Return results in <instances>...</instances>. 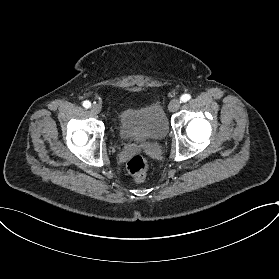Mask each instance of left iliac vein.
Listing matches in <instances>:
<instances>
[{
  "mask_svg": "<svg viewBox=\"0 0 279 279\" xmlns=\"http://www.w3.org/2000/svg\"><path fill=\"white\" fill-rule=\"evenodd\" d=\"M179 107H180V100L179 99L171 100L169 105H168V109H169L170 112L177 111Z\"/></svg>",
  "mask_w": 279,
  "mask_h": 279,
  "instance_id": "1",
  "label": "left iliac vein"
}]
</instances>
